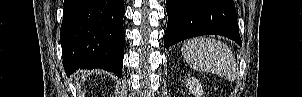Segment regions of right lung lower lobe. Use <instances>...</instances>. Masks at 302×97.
Instances as JSON below:
<instances>
[{
	"mask_svg": "<svg viewBox=\"0 0 302 97\" xmlns=\"http://www.w3.org/2000/svg\"><path fill=\"white\" fill-rule=\"evenodd\" d=\"M124 0H64L60 30L63 66L102 68L122 74L125 33Z\"/></svg>",
	"mask_w": 302,
	"mask_h": 97,
	"instance_id": "obj_1",
	"label": "right lung lower lobe"
}]
</instances>
